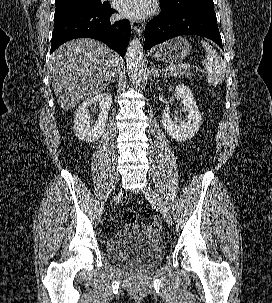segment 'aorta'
Returning <instances> with one entry per match:
<instances>
[{
    "mask_svg": "<svg viewBox=\"0 0 272 303\" xmlns=\"http://www.w3.org/2000/svg\"><path fill=\"white\" fill-rule=\"evenodd\" d=\"M126 65L133 85L138 86L143 74V47L138 38L132 39L127 47Z\"/></svg>",
    "mask_w": 272,
    "mask_h": 303,
    "instance_id": "aorta-1",
    "label": "aorta"
}]
</instances>
